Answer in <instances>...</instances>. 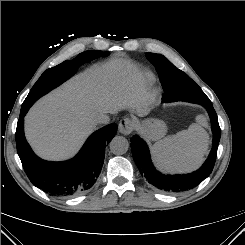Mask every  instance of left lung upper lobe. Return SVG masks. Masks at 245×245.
Segmentation results:
<instances>
[{
  "label": "left lung upper lobe",
  "mask_w": 245,
  "mask_h": 245,
  "mask_svg": "<svg viewBox=\"0 0 245 245\" xmlns=\"http://www.w3.org/2000/svg\"><path fill=\"white\" fill-rule=\"evenodd\" d=\"M146 57L155 66L159 74L164 89V97H181L191 89L200 88L187 74L176 68L163 55L148 52Z\"/></svg>",
  "instance_id": "obj_1"
}]
</instances>
